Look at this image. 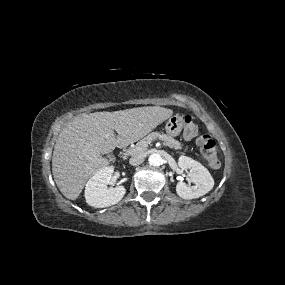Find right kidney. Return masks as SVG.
<instances>
[{
	"instance_id": "right-kidney-1",
	"label": "right kidney",
	"mask_w": 285,
	"mask_h": 285,
	"mask_svg": "<svg viewBox=\"0 0 285 285\" xmlns=\"http://www.w3.org/2000/svg\"><path fill=\"white\" fill-rule=\"evenodd\" d=\"M114 167H106L97 171L87 182L85 199L88 205L104 208L117 204L125 195L126 189L120 185L108 188Z\"/></svg>"
}]
</instances>
